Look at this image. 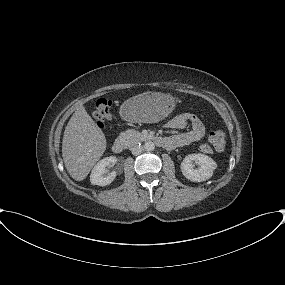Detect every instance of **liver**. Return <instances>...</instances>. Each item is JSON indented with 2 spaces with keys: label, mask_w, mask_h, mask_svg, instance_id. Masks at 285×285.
<instances>
[{
  "label": "liver",
  "mask_w": 285,
  "mask_h": 285,
  "mask_svg": "<svg viewBox=\"0 0 285 285\" xmlns=\"http://www.w3.org/2000/svg\"><path fill=\"white\" fill-rule=\"evenodd\" d=\"M105 149L104 133L80 105L65 127L62 141V157L70 176L84 180Z\"/></svg>",
  "instance_id": "liver-1"
}]
</instances>
